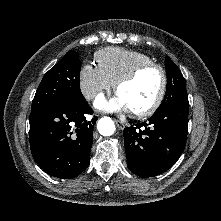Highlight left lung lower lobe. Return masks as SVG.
I'll return each instance as SVG.
<instances>
[{"instance_id": "1", "label": "left lung lower lobe", "mask_w": 221, "mask_h": 221, "mask_svg": "<svg viewBox=\"0 0 221 221\" xmlns=\"http://www.w3.org/2000/svg\"><path fill=\"white\" fill-rule=\"evenodd\" d=\"M188 111V99H181L124 129L128 168L134 174L153 177L177 162L186 144Z\"/></svg>"}]
</instances>
